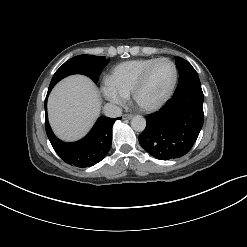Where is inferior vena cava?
<instances>
[{
    "label": "inferior vena cava",
    "mask_w": 247,
    "mask_h": 247,
    "mask_svg": "<svg viewBox=\"0 0 247 247\" xmlns=\"http://www.w3.org/2000/svg\"><path fill=\"white\" fill-rule=\"evenodd\" d=\"M103 113L108 117L116 118L122 115V109L114 104L107 103L103 108Z\"/></svg>",
    "instance_id": "602c4592"
}]
</instances>
